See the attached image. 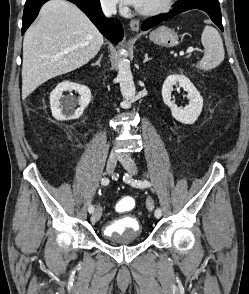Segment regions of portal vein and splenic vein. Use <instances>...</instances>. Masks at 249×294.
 Instances as JSON below:
<instances>
[{
	"label": "portal vein and splenic vein",
	"mask_w": 249,
	"mask_h": 294,
	"mask_svg": "<svg viewBox=\"0 0 249 294\" xmlns=\"http://www.w3.org/2000/svg\"><path fill=\"white\" fill-rule=\"evenodd\" d=\"M193 51H194V49L190 48V49L187 50L186 54L191 55ZM181 55H184V53H181Z\"/></svg>",
	"instance_id": "18ae733b"
}]
</instances>
